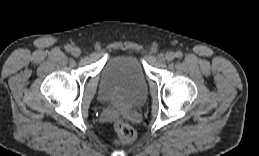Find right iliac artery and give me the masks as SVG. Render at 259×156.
Listing matches in <instances>:
<instances>
[{
    "label": "right iliac artery",
    "mask_w": 259,
    "mask_h": 156,
    "mask_svg": "<svg viewBox=\"0 0 259 156\" xmlns=\"http://www.w3.org/2000/svg\"><path fill=\"white\" fill-rule=\"evenodd\" d=\"M65 49L67 52H70L72 50V46L71 45H66Z\"/></svg>",
    "instance_id": "obj_1"
}]
</instances>
